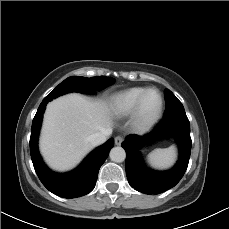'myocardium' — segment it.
Masks as SVG:
<instances>
[{
  "mask_svg": "<svg viewBox=\"0 0 229 229\" xmlns=\"http://www.w3.org/2000/svg\"><path fill=\"white\" fill-rule=\"evenodd\" d=\"M156 92L159 104L155 111L149 113L145 110V100L149 93ZM164 109V99L161 92L155 88L147 89L139 98L131 117V124L138 132L149 131L161 118Z\"/></svg>",
  "mask_w": 229,
  "mask_h": 229,
  "instance_id": "myocardium-1",
  "label": "myocardium"
}]
</instances>
